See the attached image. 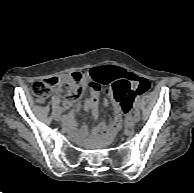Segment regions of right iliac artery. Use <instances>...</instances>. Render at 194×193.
Instances as JSON below:
<instances>
[{
    "mask_svg": "<svg viewBox=\"0 0 194 193\" xmlns=\"http://www.w3.org/2000/svg\"><path fill=\"white\" fill-rule=\"evenodd\" d=\"M63 119L64 120H71V119H73V115L72 114H67V115H63Z\"/></svg>",
    "mask_w": 194,
    "mask_h": 193,
    "instance_id": "obj_1",
    "label": "right iliac artery"
}]
</instances>
